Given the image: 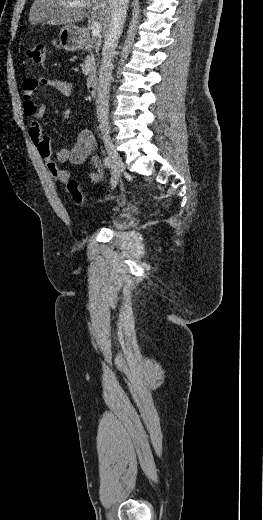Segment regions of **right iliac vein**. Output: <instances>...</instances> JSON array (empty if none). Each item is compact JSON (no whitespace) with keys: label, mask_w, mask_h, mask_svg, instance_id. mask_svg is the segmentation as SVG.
<instances>
[{"label":"right iliac vein","mask_w":263,"mask_h":520,"mask_svg":"<svg viewBox=\"0 0 263 520\" xmlns=\"http://www.w3.org/2000/svg\"><path fill=\"white\" fill-rule=\"evenodd\" d=\"M103 141H104L105 148H106L108 155L112 162L113 172H112L111 186H112V188H114L118 184L120 176H121L122 172L125 170V166H124V163H123L120 155L115 150L114 145L111 141V138L107 132L103 133Z\"/></svg>","instance_id":"right-iliac-vein-1"}]
</instances>
